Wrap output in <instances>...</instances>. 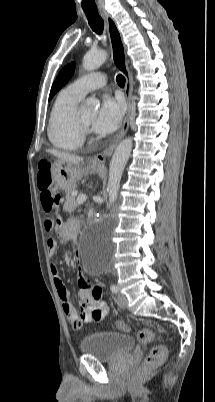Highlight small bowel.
I'll list each match as a JSON object with an SVG mask.
<instances>
[{"mask_svg": "<svg viewBox=\"0 0 215 402\" xmlns=\"http://www.w3.org/2000/svg\"><path fill=\"white\" fill-rule=\"evenodd\" d=\"M56 233L61 243H67L75 236V223L68 221L66 223L58 222ZM47 250L51 257H54L58 250V242L50 238L47 240ZM52 273L54 284L59 295L63 311L66 318L75 330H80L86 323L99 322L105 318L109 312L108 304L102 299L101 288L94 285L91 280L80 274L79 276V296L83 302L81 310L78 312L73 306L68 291L59 276V268L52 264Z\"/></svg>", "mask_w": 215, "mask_h": 402, "instance_id": "c3829d8e", "label": "small bowel"}]
</instances>
